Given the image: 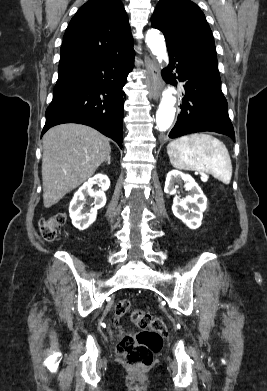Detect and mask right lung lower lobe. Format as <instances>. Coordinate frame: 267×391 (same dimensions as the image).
<instances>
[{"label": "right lung lower lobe", "instance_id": "98d812e1", "mask_svg": "<svg viewBox=\"0 0 267 391\" xmlns=\"http://www.w3.org/2000/svg\"><path fill=\"white\" fill-rule=\"evenodd\" d=\"M134 55L132 48L59 75L42 135L58 124L80 123L97 129L122 148V88L132 71Z\"/></svg>", "mask_w": 267, "mask_h": 391}]
</instances>
